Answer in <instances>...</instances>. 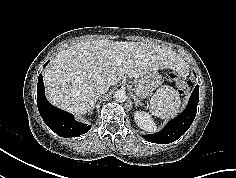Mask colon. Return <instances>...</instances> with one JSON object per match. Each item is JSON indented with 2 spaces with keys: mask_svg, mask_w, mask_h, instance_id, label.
<instances>
[{
  "mask_svg": "<svg viewBox=\"0 0 236 178\" xmlns=\"http://www.w3.org/2000/svg\"><path fill=\"white\" fill-rule=\"evenodd\" d=\"M169 77L171 80L177 83L178 92L180 94L184 95L190 91L192 87V82L189 79H186L181 74L174 72L170 73Z\"/></svg>",
  "mask_w": 236,
  "mask_h": 178,
  "instance_id": "1",
  "label": "colon"
}]
</instances>
